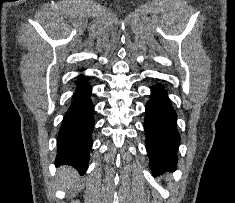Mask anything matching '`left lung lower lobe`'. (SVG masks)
<instances>
[{
  "label": "left lung lower lobe",
  "mask_w": 235,
  "mask_h": 203,
  "mask_svg": "<svg viewBox=\"0 0 235 203\" xmlns=\"http://www.w3.org/2000/svg\"><path fill=\"white\" fill-rule=\"evenodd\" d=\"M176 119L177 115L167 92L161 86L153 87L146 104L144 129L150 168L154 176L176 169L180 142Z\"/></svg>",
  "instance_id": "1"
}]
</instances>
